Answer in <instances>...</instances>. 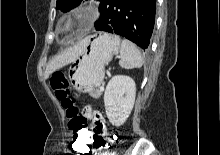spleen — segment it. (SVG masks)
I'll use <instances>...</instances> for the list:
<instances>
[{"mask_svg": "<svg viewBox=\"0 0 220 155\" xmlns=\"http://www.w3.org/2000/svg\"><path fill=\"white\" fill-rule=\"evenodd\" d=\"M119 65L124 69L140 68L143 65L140 51L127 39L121 43Z\"/></svg>", "mask_w": 220, "mask_h": 155, "instance_id": "1", "label": "spleen"}]
</instances>
